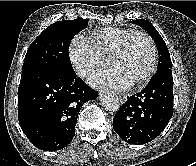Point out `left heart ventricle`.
Wrapping results in <instances>:
<instances>
[{"label": "left heart ventricle", "mask_w": 196, "mask_h": 166, "mask_svg": "<svg viewBox=\"0 0 196 166\" xmlns=\"http://www.w3.org/2000/svg\"><path fill=\"white\" fill-rule=\"evenodd\" d=\"M151 61L152 51L149 42L146 38L137 36L130 42L127 52L116 59L112 66L133 83L148 71Z\"/></svg>", "instance_id": "1"}]
</instances>
